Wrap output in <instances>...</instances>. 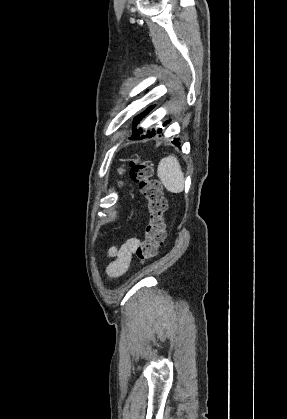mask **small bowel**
Masks as SVG:
<instances>
[{"mask_svg": "<svg viewBox=\"0 0 287 419\" xmlns=\"http://www.w3.org/2000/svg\"><path fill=\"white\" fill-rule=\"evenodd\" d=\"M139 243V239L131 237L127 238L120 246L110 248L109 256L113 258V261L107 267L109 277L121 276L129 269L132 256Z\"/></svg>", "mask_w": 287, "mask_h": 419, "instance_id": "c3829d8e", "label": "small bowel"}]
</instances>
